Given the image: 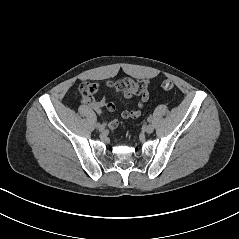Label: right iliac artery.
I'll return each mask as SVG.
<instances>
[{"label":"right iliac artery","instance_id":"obj_1","mask_svg":"<svg viewBox=\"0 0 239 239\" xmlns=\"http://www.w3.org/2000/svg\"><path fill=\"white\" fill-rule=\"evenodd\" d=\"M99 125H100V123H99V122H97V123H96V127H98Z\"/></svg>","mask_w":239,"mask_h":239}]
</instances>
